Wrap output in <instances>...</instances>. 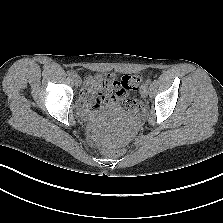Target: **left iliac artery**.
<instances>
[{
  "label": "left iliac artery",
  "instance_id": "obj_1",
  "mask_svg": "<svg viewBox=\"0 0 223 223\" xmlns=\"http://www.w3.org/2000/svg\"><path fill=\"white\" fill-rule=\"evenodd\" d=\"M150 83H151V80H150V79H148V80L145 82L146 85H149Z\"/></svg>",
  "mask_w": 223,
  "mask_h": 223
}]
</instances>
